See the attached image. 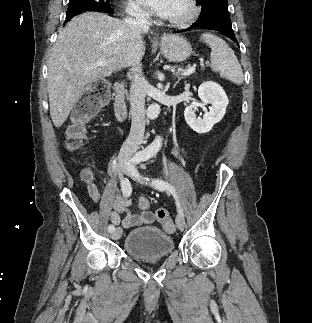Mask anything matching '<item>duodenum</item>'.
Masks as SVG:
<instances>
[{"label":"duodenum","instance_id":"duodenum-1","mask_svg":"<svg viewBox=\"0 0 312 323\" xmlns=\"http://www.w3.org/2000/svg\"><path fill=\"white\" fill-rule=\"evenodd\" d=\"M114 92V112L120 121H125L127 117L126 105V88L120 81L116 82L113 86Z\"/></svg>","mask_w":312,"mask_h":323}]
</instances>
